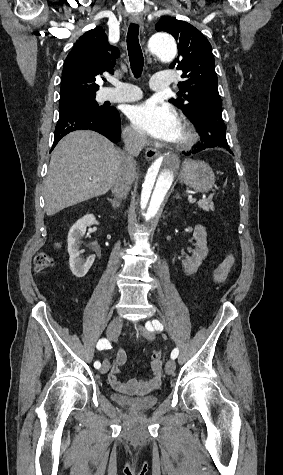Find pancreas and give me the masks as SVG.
I'll use <instances>...</instances> for the list:
<instances>
[{
  "mask_svg": "<svg viewBox=\"0 0 283 475\" xmlns=\"http://www.w3.org/2000/svg\"><path fill=\"white\" fill-rule=\"evenodd\" d=\"M197 204L198 208H202V210H205V212H209V210H215L211 198H208V200H200V202H197Z\"/></svg>",
  "mask_w": 283,
  "mask_h": 475,
  "instance_id": "pancreas-1",
  "label": "pancreas"
}]
</instances>
